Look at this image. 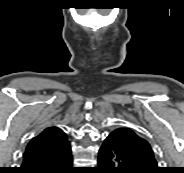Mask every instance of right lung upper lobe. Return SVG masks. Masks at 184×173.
Listing matches in <instances>:
<instances>
[{"mask_svg": "<svg viewBox=\"0 0 184 173\" xmlns=\"http://www.w3.org/2000/svg\"><path fill=\"white\" fill-rule=\"evenodd\" d=\"M70 148L66 134L58 127H49L27 145L23 163L56 156Z\"/></svg>", "mask_w": 184, "mask_h": 173, "instance_id": "cb5924a9", "label": "right lung upper lobe"}]
</instances>
